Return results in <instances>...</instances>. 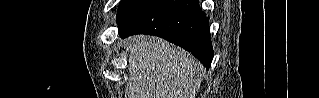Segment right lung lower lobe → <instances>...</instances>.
Wrapping results in <instances>:
<instances>
[{"mask_svg": "<svg viewBox=\"0 0 319 98\" xmlns=\"http://www.w3.org/2000/svg\"><path fill=\"white\" fill-rule=\"evenodd\" d=\"M119 35L162 37L198 58L207 69L213 59L209 21L198 0H150L118 24Z\"/></svg>", "mask_w": 319, "mask_h": 98, "instance_id": "98d812e1", "label": "right lung lower lobe"}]
</instances>
